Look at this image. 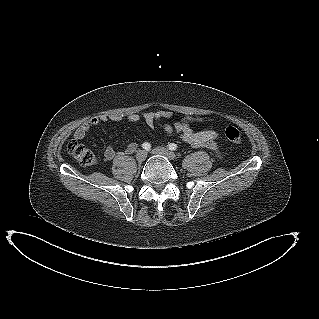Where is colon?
I'll use <instances>...</instances> for the list:
<instances>
[{"mask_svg":"<svg viewBox=\"0 0 319 319\" xmlns=\"http://www.w3.org/2000/svg\"><path fill=\"white\" fill-rule=\"evenodd\" d=\"M225 136L228 141L234 144H239L243 140L241 132L237 128L232 126L226 128ZM67 151L83 166H91L96 162L94 153L85 145L76 141H70L68 143Z\"/></svg>","mask_w":319,"mask_h":319,"instance_id":"colon-1","label":"colon"}]
</instances>
